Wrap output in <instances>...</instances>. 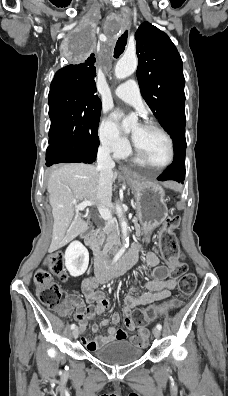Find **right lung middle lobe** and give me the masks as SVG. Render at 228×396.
<instances>
[{
  "label": "right lung middle lobe",
  "instance_id": "obj_1",
  "mask_svg": "<svg viewBox=\"0 0 228 396\" xmlns=\"http://www.w3.org/2000/svg\"><path fill=\"white\" fill-rule=\"evenodd\" d=\"M93 41L86 33L79 34L74 56L87 57ZM49 146L60 147L84 163L96 159L99 138L97 134L101 113L98 96L82 92L74 86L56 83L50 86Z\"/></svg>",
  "mask_w": 228,
  "mask_h": 396
}]
</instances>
